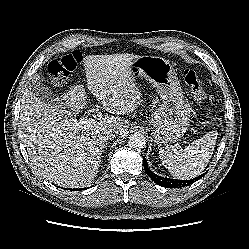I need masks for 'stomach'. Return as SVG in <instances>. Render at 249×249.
<instances>
[{
  "label": "stomach",
  "mask_w": 249,
  "mask_h": 249,
  "mask_svg": "<svg viewBox=\"0 0 249 249\" xmlns=\"http://www.w3.org/2000/svg\"><path fill=\"white\" fill-rule=\"evenodd\" d=\"M129 70L135 78L148 80L160 96V104L148 120L153 141L167 144L179 140L187 131L191 115L173 65L165 58L143 55L129 64Z\"/></svg>",
  "instance_id": "0dacf381"
}]
</instances>
